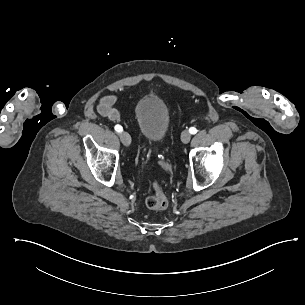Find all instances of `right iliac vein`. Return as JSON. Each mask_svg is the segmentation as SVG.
I'll return each instance as SVG.
<instances>
[{
    "label": "right iliac vein",
    "mask_w": 305,
    "mask_h": 305,
    "mask_svg": "<svg viewBox=\"0 0 305 305\" xmlns=\"http://www.w3.org/2000/svg\"><path fill=\"white\" fill-rule=\"evenodd\" d=\"M120 139L125 146H129L131 143V137L127 132H121Z\"/></svg>",
    "instance_id": "1"
}]
</instances>
